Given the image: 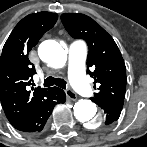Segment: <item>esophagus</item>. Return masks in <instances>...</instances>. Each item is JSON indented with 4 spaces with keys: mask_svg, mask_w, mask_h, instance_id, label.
Segmentation results:
<instances>
[{
    "mask_svg": "<svg viewBox=\"0 0 147 147\" xmlns=\"http://www.w3.org/2000/svg\"><path fill=\"white\" fill-rule=\"evenodd\" d=\"M65 93H66L67 98H69L70 100L74 101L77 99L76 93L70 88L66 89Z\"/></svg>",
    "mask_w": 147,
    "mask_h": 147,
    "instance_id": "34e87169",
    "label": "esophagus"
}]
</instances>
